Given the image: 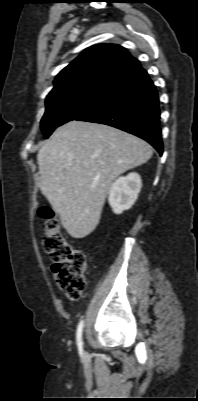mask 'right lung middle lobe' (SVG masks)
<instances>
[{
  "instance_id": "dd1d6c3e",
  "label": "right lung middle lobe",
  "mask_w": 198,
  "mask_h": 401,
  "mask_svg": "<svg viewBox=\"0 0 198 401\" xmlns=\"http://www.w3.org/2000/svg\"><path fill=\"white\" fill-rule=\"evenodd\" d=\"M109 88L83 87L46 98V111L41 130L47 139L55 128L75 120L95 107Z\"/></svg>"
}]
</instances>
